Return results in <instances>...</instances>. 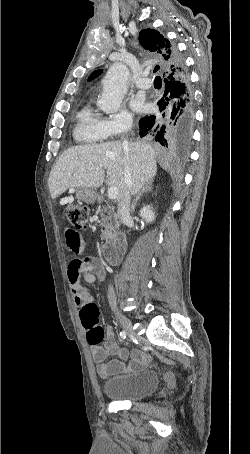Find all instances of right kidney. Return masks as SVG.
Listing matches in <instances>:
<instances>
[{
	"label": "right kidney",
	"instance_id": "obj_1",
	"mask_svg": "<svg viewBox=\"0 0 250 454\" xmlns=\"http://www.w3.org/2000/svg\"><path fill=\"white\" fill-rule=\"evenodd\" d=\"M140 216L143 219H145L147 223H150L155 219V213L153 212L152 207L150 205L143 206V208H141Z\"/></svg>",
	"mask_w": 250,
	"mask_h": 454
}]
</instances>
